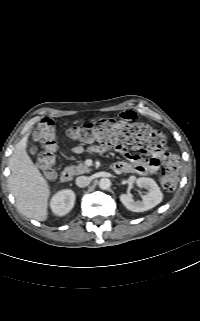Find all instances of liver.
Returning <instances> with one entry per match:
<instances>
[{
	"mask_svg": "<svg viewBox=\"0 0 200 321\" xmlns=\"http://www.w3.org/2000/svg\"><path fill=\"white\" fill-rule=\"evenodd\" d=\"M28 138L29 133L16 144L9 158L11 174L8 186L22 215L45 221L48 218L50 187L26 152Z\"/></svg>",
	"mask_w": 200,
	"mask_h": 321,
	"instance_id": "6515ba94",
	"label": "liver"
}]
</instances>
